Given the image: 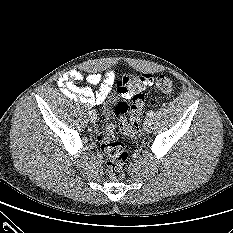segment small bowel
I'll use <instances>...</instances> for the list:
<instances>
[{
	"instance_id": "obj_1",
	"label": "small bowel",
	"mask_w": 233,
	"mask_h": 233,
	"mask_svg": "<svg viewBox=\"0 0 233 233\" xmlns=\"http://www.w3.org/2000/svg\"><path fill=\"white\" fill-rule=\"evenodd\" d=\"M140 78L143 80L142 89L152 84V75L144 74L140 76ZM83 79L84 75L81 71L72 69L64 73L58 79V86L62 93L69 99L89 105L104 102L115 85L119 93H121L125 98L128 99L132 96V92L129 90L128 86L133 78L123 77L121 80L116 82V76L112 70L107 71L104 76L99 73H90L85 77L87 83L99 87L97 91H94L90 87L80 86L78 82Z\"/></svg>"
}]
</instances>
